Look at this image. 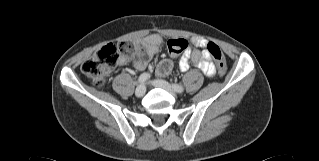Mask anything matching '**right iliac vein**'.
Wrapping results in <instances>:
<instances>
[{
    "instance_id": "obj_1",
    "label": "right iliac vein",
    "mask_w": 319,
    "mask_h": 161,
    "mask_svg": "<svg viewBox=\"0 0 319 161\" xmlns=\"http://www.w3.org/2000/svg\"><path fill=\"white\" fill-rule=\"evenodd\" d=\"M145 92H146V87L144 84H141L136 88L135 95L137 97H142L145 94Z\"/></svg>"
}]
</instances>
